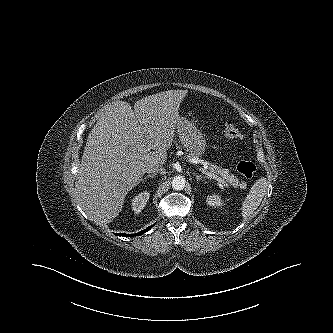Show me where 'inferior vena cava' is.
<instances>
[{
	"instance_id": "obj_1",
	"label": "inferior vena cava",
	"mask_w": 333,
	"mask_h": 333,
	"mask_svg": "<svg viewBox=\"0 0 333 333\" xmlns=\"http://www.w3.org/2000/svg\"><path fill=\"white\" fill-rule=\"evenodd\" d=\"M146 172L149 173V174H156V173H160V174H165V169L162 167V166H149L147 169H146Z\"/></svg>"
}]
</instances>
